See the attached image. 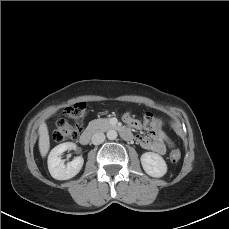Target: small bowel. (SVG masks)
<instances>
[{"mask_svg":"<svg viewBox=\"0 0 229 229\" xmlns=\"http://www.w3.org/2000/svg\"><path fill=\"white\" fill-rule=\"evenodd\" d=\"M147 119H151L153 121V129H151L147 136L137 135L135 140L142 148L153 151L159 155H165L168 150L170 141L166 133L162 130L164 122L161 119L154 117L150 113L146 114L145 120ZM123 120L129 127H140L139 121L134 119L129 112L124 114Z\"/></svg>","mask_w":229,"mask_h":229,"instance_id":"small-bowel-1","label":"small bowel"}]
</instances>
